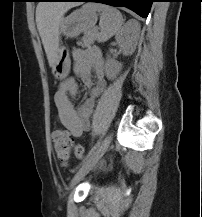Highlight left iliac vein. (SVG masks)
<instances>
[{"mask_svg":"<svg viewBox=\"0 0 202 217\" xmlns=\"http://www.w3.org/2000/svg\"><path fill=\"white\" fill-rule=\"evenodd\" d=\"M112 137L107 135L102 141L101 145L97 150L90 156V158L81 166V168L76 172L73 179L71 180L69 188H74L88 173L89 171L98 163L102 156L107 151Z\"/></svg>","mask_w":202,"mask_h":217,"instance_id":"4c4485c4","label":"left iliac vein"}]
</instances>
